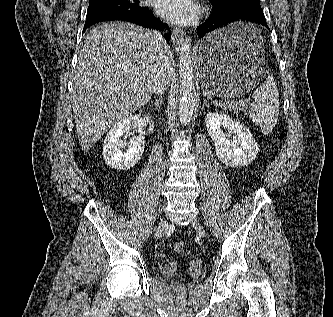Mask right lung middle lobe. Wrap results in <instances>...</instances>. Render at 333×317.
Masks as SVG:
<instances>
[{
	"label": "right lung middle lobe",
	"mask_w": 333,
	"mask_h": 317,
	"mask_svg": "<svg viewBox=\"0 0 333 317\" xmlns=\"http://www.w3.org/2000/svg\"><path fill=\"white\" fill-rule=\"evenodd\" d=\"M141 6L138 0H89L87 14L100 11L138 10Z\"/></svg>",
	"instance_id": "1"
}]
</instances>
